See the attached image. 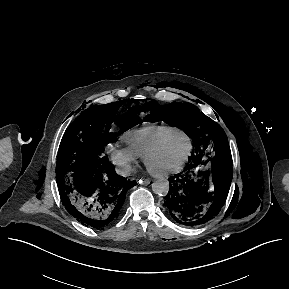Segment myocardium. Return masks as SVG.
Segmentation results:
<instances>
[{"label": "myocardium", "mask_w": 289, "mask_h": 289, "mask_svg": "<svg viewBox=\"0 0 289 289\" xmlns=\"http://www.w3.org/2000/svg\"><path fill=\"white\" fill-rule=\"evenodd\" d=\"M183 136L186 138L187 143H188V147L185 153V156L183 157L182 161L177 164L176 166L166 169V170H162V171H156L153 170L149 167V159L155 155L157 152L160 151V149L166 144V142H168L170 139H172L175 136ZM192 142L190 137L181 130H177L173 133H171L170 135L166 136L165 138H163L161 141H159L157 144H155L154 146H152L142 157L143 163L145 165V167L147 168L148 172L153 175L154 177H164V176H168L171 174H175L180 172L181 170H183V168L186 166V164L189 161V158L191 156L192 153Z\"/></svg>", "instance_id": "1"}]
</instances>
